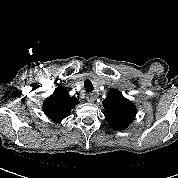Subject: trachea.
<instances>
[{
  "instance_id": "trachea-1",
  "label": "trachea",
  "mask_w": 178,
  "mask_h": 178,
  "mask_svg": "<svg viewBox=\"0 0 178 178\" xmlns=\"http://www.w3.org/2000/svg\"><path fill=\"white\" fill-rule=\"evenodd\" d=\"M84 87L86 89V92H92L94 90L93 84L89 79L85 80Z\"/></svg>"
}]
</instances>
